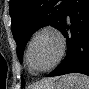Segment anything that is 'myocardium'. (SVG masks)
I'll return each instance as SVG.
<instances>
[{
  "label": "myocardium",
  "instance_id": "obj_1",
  "mask_svg": "<svg viewBox=\"0 0 89 89\" xmlns=\"http://www.w3.org/2000/svg\"><path fill=\"white\" fill-rule=\"evenodd\" d=\"M44 33H50L57 38V40L59 42V53H58V56L55 59V61L50 66H48L47 68L42 69V70H34L30 64V59H29L30 50H31L32 44L36 40V38ZM66 49H67V43H66V39H65V36L63 35V33L58 28H56L52 25H45V26L39 28L33 34V36L31 37V39L27 45V49H26V53H25L26 65H27L28 69L30 70V72L33 74H42V73L48 72V71L54 69L62 61V59L64 58V55L66 53Z\"/></svg>",
  "mask_w": 89,
  "mask_h": 89
}]
</instances>
